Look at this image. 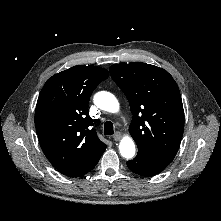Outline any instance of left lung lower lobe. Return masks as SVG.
<instances>
[{
    "label": "left lung lower lobe",
    "instance_id": "obj_1",
    "mask_svg": "<svg viewBox=\"0 0 221 221\" xmlns=\"http://www.w3.org/2000/svg\"><path fill=\"white\" fill-rule=\"evenodd\" d=\"M168 164L169 163L140 154H137V156L133 160L127 161V166L132 172L145 177H150L158 174Z\"/></svg>",
    "mask_w": 221,
    "mask_h": 221
}]
</instances>
